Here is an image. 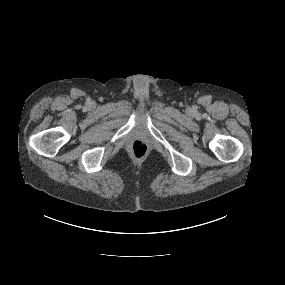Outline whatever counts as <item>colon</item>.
I'll return each instance as SVG.
<instances>
[{
    "mask_svg": "<svg viewBox=\"0 0 285 285\" xmlns=\"http://www.w3.org/2000/svg\"><path fill=\"white\" fill-rule=\"evenodd\" d=\"M131 151L135 157H143L147 154L148 147L144 142L136 140L132 143Z\"/></svg>",
    "mask_w": 285,
    "mask_h": 285,
    "instance_id": "1",
    "label": "colon"
}]
</instances>
